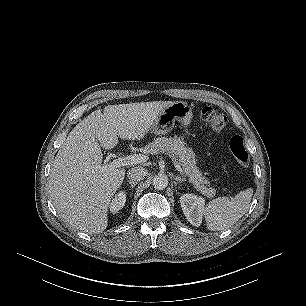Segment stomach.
<instances>
[{
  "label": "stomach",
  "mask_w": 306,
  "mask_h": 306,
  "mask_svg": "<svg viewBox=\"0 0 306 306\" xmlns=\"http://www.w3.org/2000/svg\"><path fill=\"white\" fill-rule=\"evenodd\" d=\"M191 120V107L186 102L177 101L170 104L159 114L150 130L155 135H165L172 131L176 121L183 126H187Z\"/></svg>",
  "instance_id": "1"
}]
</instances>
